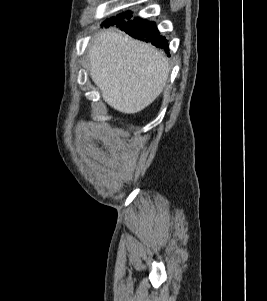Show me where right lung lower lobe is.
<instances>
[{
	"mask_svg": "<svg viewBox=\"0 0 267 301\" xmlns=\"http://www.w3.org/2000/svg\"><path fill=\"white\" fill-rule=\"evenodd\" d=\"M123 21L124 20L116 23L117 27H120L130 36L150 42L156 47L164 49L168 53L167 40L160 35L154 22L144 21L140 18H135L134 20H128L126 22Z\"/></svg>",
	"mask_w": 267,
	"mask_h": 301,
	"instance_id": "1",
	"label": "right lung lower lobe"
}]
</instances>
